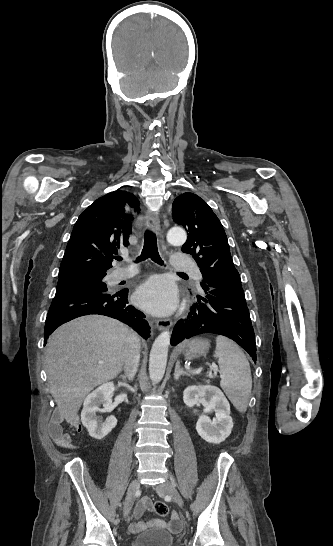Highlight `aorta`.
Listing matches in <instances>:
<instances>
[{
    "label": "aorta",
    "mask_w": 333,
    "mask_h": 546,
    "mask_svg": "<svg viewBox=\"0 0 333 546\" xmlns=\"http://www.w3.org/2000/svg\"><path fill=\"white\" fill-rule=\"evenodd\" d=\"M187 239L186 232L180 227H173L167 233V241L174 246H181ZM170 333L162 332L154 341L149 359V374L153 382L158 383L164 376L167 364Z\"/></svg>",
    "instance_id": "1"
}]
</instances>
